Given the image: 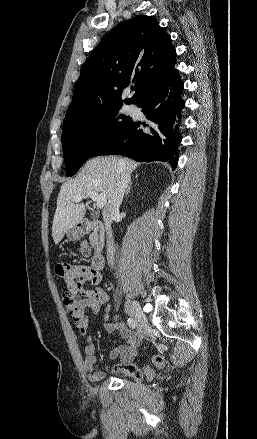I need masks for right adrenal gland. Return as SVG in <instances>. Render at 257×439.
<instances>
[{"label":"right adrenal gland","mask_w":257,"mask_h":439,"mask_svg":"<svg viewBox=\"0 0 257 439\" xmlns=\"http://www.w3.org/2000/svg\"><path fill=\"white\" fill-rule=\"evenodd\" d=\"M137 177H138V175H136V178ZM131 185H132V182H130L129 185L127 186V189H126V192H125V196H127L130 193Z\"/></svg>","instance_id":"1"}]
</instances>
